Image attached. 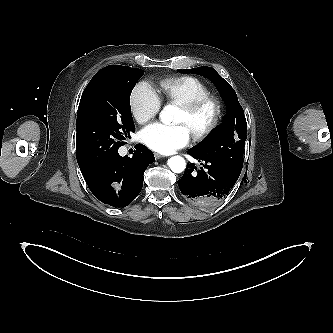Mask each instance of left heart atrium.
I'll list each match as a JSON object with an SVG mask.
<instances>
[{"label":"left heart atrium","mask_w":333,"mask_h":333,"mask_svg":"<svg viewBox=\"0 0 333 333\" xmlns=\"http://www.w3.org/2000/svg\"><path fill=\"white\" fill-rule=\"evenodd\" d=\"M141 141L156 152L169 154L189 143L190 132L183 124L168 126L153 123L142 130Z\"/></svg>","instance_id":"obj_1"}]
</instances>
